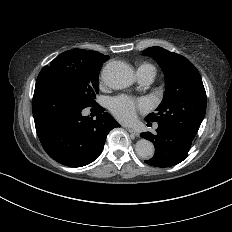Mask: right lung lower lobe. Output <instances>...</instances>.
I'll return each instance as SVG.
<instances>
[{
  "label": "right lung lower lobe",
  "instance_id": "obj_1",
  "mask_svg": "<svg viewBox=\"0 0 232 232\" xmlns=\"http://www.w3.org/2000/svg\"><path fill=\"white\" fill-rule=\"evenodd\" d=\"M85 108L57 85L36 81L33 117L37 135L47 154L69 167L93 162L101 154L108 133L120 127L100 105L91 108L96 119L83 116Z\"/></svg>",
  "mask_w": 232,
  "mask_h": 232
}]
</instances>
